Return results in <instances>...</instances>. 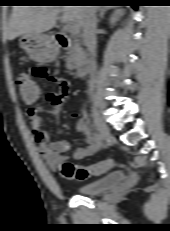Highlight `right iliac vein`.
Returning a JSON list of instances; mask_svg holds the SVG:
<instances>
[{
    "mask_svg": "<svg viewBox=\"0 0 170 231\" xmlns=\"http://www.w3.org/2000/svg\"><path fill=\"white\" fill-rule=\"evenodd\" d=\"M92 114L94 117V122L96 124L100 139L103 142H106L110 137L109 127L103 122V120L99 117L96 107L92 106Z\"/></svg>",
    "mask_w": 170,
    "mask_h": 231,
    "instance_id": "1",
    "label": "right iliac vein"
}]
</instances>
